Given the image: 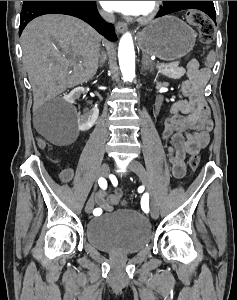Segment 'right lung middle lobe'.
I'll use <instances>...</instances> for the list:
<instances>
[{"instance_id":"1","label":"right lung middle lobe","mask_w":237,"mask_h":300,"mask_svg":"<svg viewBox=\"0 0 237 300\" xmlns=\"http://www.w3.org/2000/svg\"><path fill=\"white\" fill-rule=\"evenodd\" d=\"M34 2H36V1H24L23 6H27V5L32 4Z\"/></svg>"}]
</instances>
